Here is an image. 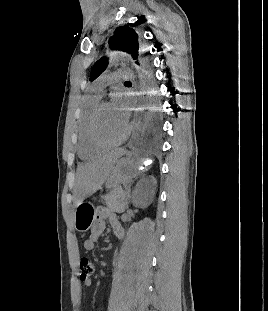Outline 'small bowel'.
I'll return each mask as SVG.
<instances>
[{
  "instance_id": "1",
  "label": "small bowel",
  "mask_w": 268,
  "mask_h": 311,
  "mask_svg": "<svg viewBox=\"0 0 268 311\" xmlns=\"http://www.w3.org/2000/svg\"><path fill=\"white\" fill-rule=\"evenodd\" d=\"M107 223H109L117 237H124V230L116 217L112 213L103 210L97 216L96 222L92 227L89 237L83 242V246L86 250H92L94 248L95 243L99 240L100 236L105 230ZM81 282L83 286L86 287H89L92 284L91 278L81 279Z\"/></svg>"
}]
</instances>
